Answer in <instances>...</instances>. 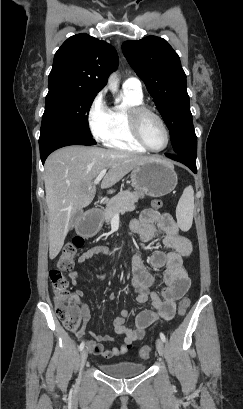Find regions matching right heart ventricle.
<instances>
[{"label": "right heart ventricle", "mask_w": 243, "mask_h": 409, "mask_svg": "<svg viewBox=\"0 0 243 409\" xmlns=\"http://www.w3.org/2000/svg\"><path fill=\"white\" fill-rule=\"evenodd\" d=\"M123 104L111 109L114 119V130L105 143L110 148L133 152H146L132 136L128 124L127 110L132 106L142 105L143 95L123 89Z\"/></svg>", "instance_id": "e07e8e85"}]
</instances>
